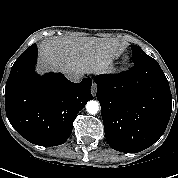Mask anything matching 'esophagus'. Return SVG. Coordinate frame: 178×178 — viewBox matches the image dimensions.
<instances>
[{
    "label": "esophagus",
    "mask_w": 178,
    "mask_h": 178,
    "mask_svg": "<svg viewBox=\"0 0 178 178\" xmlns=\"http://www.w3.org/2000/svg\"><path fill=\"white\" fill-rule=\"evenodd\" d=\"M96 91H97V85L95 83H93L92 87H91V94L93 96L96 95Z\"/></svg>",
    "instance_id": "obj_1"
}]
</instances>
